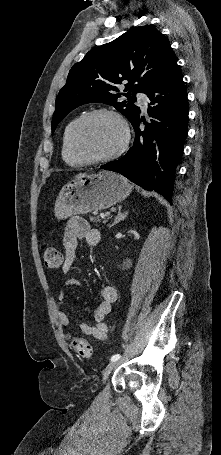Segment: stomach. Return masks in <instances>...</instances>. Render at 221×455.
<instances>
[{
  "instance_id": "0dacf381",
  "label": "stomach",
  "mask_w": 221,
  "mask_h": 455,
  "mask_svg": "<svg viewBox=\"0 0 221 455\" xmlns=\"http://www.w3.org/2000/svg\"><path fill=\"white\" fill-rule=\"evenodd\" d=\"M132 185L123 176L110 171L76 178L59 192L54 213L59 220L72 215L107 209L124 200Z\"/></svg>"
}]
</instances>
